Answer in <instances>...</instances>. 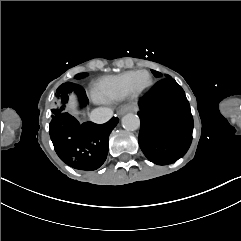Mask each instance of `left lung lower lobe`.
Returning a JSON list of instances; mask_svg holds the SVG:
<instances>
[{
	"mask_svg": "<svg viewBox=\"0 0 241 241\" xmlns=\"http://www.w3.org/2000/svg\"><path fill=\"white\" fill-rule=\"evenodd\" d=\"M139 146L155 164L182 157L192 140L193 117L182 87L170 76L159 80L138 102Z\"/></svg>",
	"mask_w": 241,
	"mask_h": 241,
	"instance_id": "0a47b994",
	"label": "left lung lower lobe"
}]
</instances>
